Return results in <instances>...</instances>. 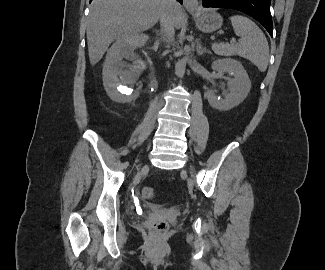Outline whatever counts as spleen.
I'll return each mask as SVG.
<instances>
[{
	"instance_id": "spleen-1",
	"label": "spleen",
	"mask_w": 325,
	"mask_h": 270,
	"mask_svg": "<svg viewBox=\"0 0 325 270\" xmlns=\"http://www.w3.org/2000/svg\"><path fill=\"white\" fill-rule=\"evenodd\" d=\"M234 32L240 37L238 44L214 43L212 50L221 56L238 55L251 61L261 72L269 62V45L263 31L255 22L242 15L230 17Z\"/></svg>"
}]
</instances>
